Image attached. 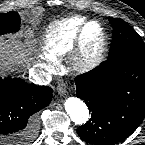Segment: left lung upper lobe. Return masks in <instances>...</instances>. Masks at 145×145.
<instances>
[{
	"label": "left lung upper lobe",
	"instance_id": "left-lung-upper-lobe-1",
	"mask_svg": "<svg viewBox=\"0 0 145 145\" xmlns=\"http://www.w3.org/2000/svg\"><path fill=\"white\" fill-rule=\"evenodd\" d=\"M109 21L113 35L108 59L135 57L145 60V44L136 31L122 19L109 17Z\"/></svg>",
	"mask_w": 145,
	"mask_h": 145
}]
</instances>
